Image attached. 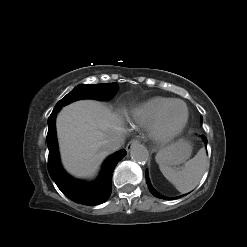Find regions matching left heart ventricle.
Returning a JSON list of instances; mask_svg holds the SVG:
<instances>
[{
    "mask_svg": "<svg viewBox=\"0 0 247 247\" xmlns=\"http://www.w3.org/2000/svg\"><path fill=\"white\" fill-rule=\"evenodd\" d=\"M185 117V108L182 104L172 105L164 116V125L167 128H175L181 124Z\"/></svg>",
    "mask_w": 247,
    "mask_h": 247,
    "instance_id": "b2bd125f",
    "label": "left heart ventricle"
}]
</instances>
